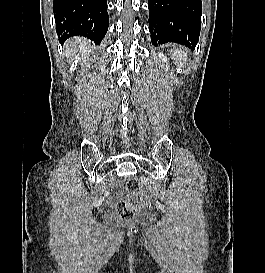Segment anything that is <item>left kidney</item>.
Wrapping results in <instances>:
<instances>
[{
    "label": "left kidney",
    "instance_id": "1",
    "mask_svg": "<svg viewBox=\"0 0 265 273\" xmlns=\"http://www.w3.org/2000/svg\"><path fill=\"white\" fill-rule=\"evenodd\" d=\"M159 58L162 59L163 62L167 63V58L162 53H159Z\"/></svg>",
    "mask_w": 265,
    "mask_h": 273
}]
</instances>
